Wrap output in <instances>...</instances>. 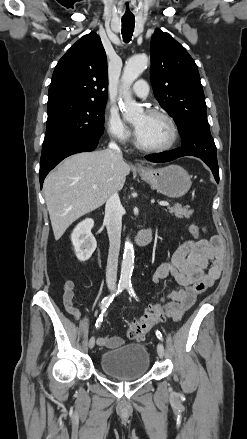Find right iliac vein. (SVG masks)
<instances>
[{"label": "right iliac vein", "mask_w": 247, "mask_h": 439, "mask_svg": "<svg viewBox=\"0 0 247 439\" xmlns=\"http://www.w3.org/2000/svg\"><path fill=\"white\" fill-rule=\"evenodd\" d=\"M95 346V338L91 337L89 340V348L92 349Z\"/></svg>", "instance_id": "obj_1"}]
</instances>
